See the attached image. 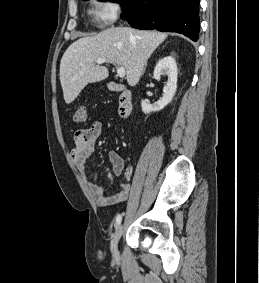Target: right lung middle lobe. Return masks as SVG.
I'll list each match as a JSON object with an SVG mask.
<instances>
[{"label":"right lung middle lobe","instance_id":"dd1d6c3e","mask_svg":"<svg viewBox=\"0 0 259 283\" xmlns=\"http://www.w3.org/2000/svg\"><path fill=\"white\" fill-rule=\"evenodd\" d=\"M85 1H87V0H85ZM100 1H108V0H100ZM110 1L120 2L121 0H110Z\"/></svg>","mask_w":259,"mask_h":283}]
</instances>
